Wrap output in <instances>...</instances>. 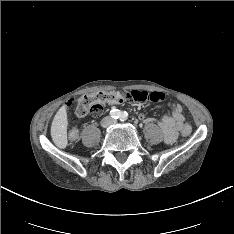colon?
I'll return each instance as SVG.
<instances>
[{
    "label": "colon",
    "instance_id": "1",
    "mask_svg": "<svg viewBox=\"0 0 234 234\" xmlns=\"http://www.w3.org/2000/svg\"><path fill=\"white\" fill-rule=\"evenodd\" d=\"M164 99V94L161 92L147 93L144 91H100L93 94H88L74 99L75 113L78 117H98L100 116L106 104H121L124 102L144 103V102H160ZM191 133L190 125H185L182 130L184 136ZM69 142L74 144L79 139V130L73 128L69 131Z\"/></svg>",
    "mask_w": 234,
    "mask_h": 234
}]
</instances>
